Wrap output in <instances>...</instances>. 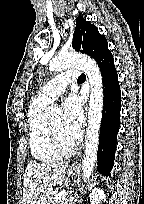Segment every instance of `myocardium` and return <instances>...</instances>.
<instances>
[{"label": "myocardium", "mask_w": 144, "mask_h": 204, "mask_svg": "<svg viewBox=\"0 0 144 204\" xmlns=\"http://www.w3.org/2000/svg\"><path fill=\"white\" fill-rule=\"evenodd\" d=\"M48 132L50 135L51 142L55 148V150L61 155H69L75 152L77 148V144L72 142L70 144H66L62 141L58 133L55 131L51 123H48Z\"/></svg>", "instance_id": "1"}]
</instances>
